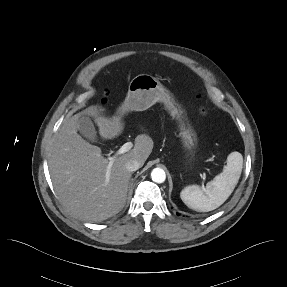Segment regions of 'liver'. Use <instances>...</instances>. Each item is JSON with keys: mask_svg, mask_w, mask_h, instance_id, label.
Masks as SVG:
<instances>
[{"mask_svg": "<svg viewBox=\"0 0 287 287\" xmlns=\"http://www.w3.org/2000/svg\"><path fill=\"white\" fill-rule=\"evenodd\" d=\"M81 115L94 118L103 139L119 136L124 123L119 117L100 115L97 108L91 106L64 120L50 149L48 166L59 200L79 219L97 223L116 215L124 207L131 178L125 163L134 159L142 166L152 152L153 140L146 134L138 135L133 149L114 159L107 177L110 158L102 157L98 146L91 145L77 133Z\"/></svg>", "mask_w": 287, "mask_h": 287, "instance_id": "1", "label": "liver"}]
</instances>
